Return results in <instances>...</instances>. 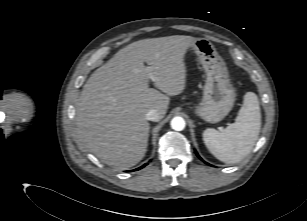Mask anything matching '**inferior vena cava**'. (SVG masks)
I'll list each match as a JSON object with an SVG mask.
<instances>
[{
  "mask_svg": "<svg viewBox=\"0 0 307 221\" xmlns=\"http://www.w3.org/2000/svg\"><path fill=\"white\" fill-rule=\"evenodd\" d=\"M146 119L157 122L161 119L160 114L155 109H150L146 114Z\"/></svg>",
  "mask_w": 307,
  "mask_h": 221,
  "instance_id": "obj_1",
  "label": "inferior vena cava"
}]
</instances>
